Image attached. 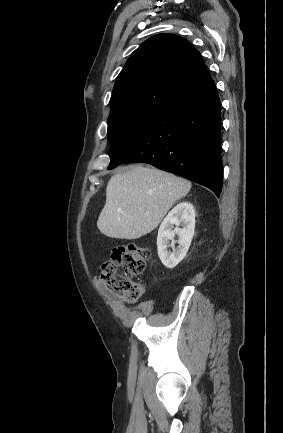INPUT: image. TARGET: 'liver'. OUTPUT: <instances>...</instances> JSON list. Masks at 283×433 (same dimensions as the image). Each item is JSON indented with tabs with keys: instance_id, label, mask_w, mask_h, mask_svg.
I'll return each instance as SVG.
<instances>
[{
	"instance_id": "liver-1",
	"label": "liver",
	"mask_w": 283,
	"mask_h": 433,
	"mask_svg": "<svg viewBox=\"0 0 283 433\" xmlns=\"http://www.w3.org/2000/svg\"><path fill=\"white\" fill-rule=\"evenodd\" d=\"M190 188L189 180L142 164L113 174L97 227L112 239H139L156 229L169 208Z\"/></svg>"
}]
</instances>
